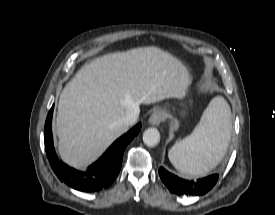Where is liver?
Instances as JSON below:
<instances>
[{
  "mask_svg": "<svg viewBox=\"0 0 275 215\" xmlns=\"http://www.w3.org/2000/svg\"><path fill=\"white\" fill-rule=\"evenodd\" d=\"M191 82L181 61L154 46L107 54L84 65L59 98L56 133L61 159L85 168L128 130L120 124L128 110L183 98Z\"/></svg>",
  "mask_w": 275,
  "mask_h": 215,
  "instance_id": "liver-1",
  "label": "liver"
}]
</instances>
